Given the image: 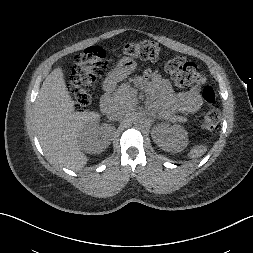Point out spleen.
<instances>
[{
  "label": "spleen",
  "mask_w": 253,
  "mask_h": 253,
  "mask_svg": "<svg viewBox=\"0 0 253 253\" xmlns=\"http://www.w3.org/2000/svg\"><path fill=\"white\" fill-rule=\"evenodd\" d=\"M206 151V148L203 146H196L195 148H193L190 152H189V157L190 158H196V157H200L201 155L204 154V152Z\"/></svg>",
  "instance_id": "3e777b00"
}]
</instances>
